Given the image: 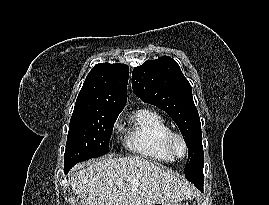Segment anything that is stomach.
<instances>
[{
    "label": "stomach",
    "mask_w": 269,
    "mask_h": 205,
    "mask_svg": "<svg viewBox=\"0 0 269 205\" xmlns=\"http://www.w3.org/2000/svg\"><path fill=\"white\" fill-rule=\"evenodd\" d=\"M151 205H189L187 202H175V203H169V202H154Z\"/></svg>",
    "instance_id": "0dacf381"
}]
</instances>
